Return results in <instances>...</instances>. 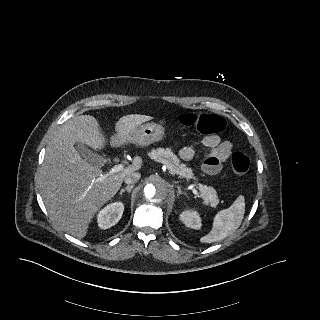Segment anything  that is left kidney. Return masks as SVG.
<instances>
[{
    "mask_svg": "<svg viewBox=\"0 0 320 320\" xmlns=\"http://www.w3.org/2000/svg\"><path fill=\"white\" fill-rule=\"evenodd\" d=\"M180 220L192 229H200L201 219L196 211H184L180 215Z\"/></svg>",
    "mask_w": 320,
    "mask_h": 320,
    "instance_id": "5707ae66",
    "label": "left kidney"
}]
</instances>
